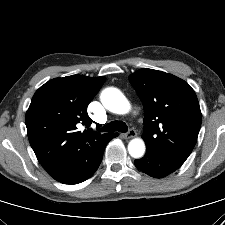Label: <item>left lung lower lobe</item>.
I'll use <instances>...</instances> for the list:
<instances>
[{"instance_id":"obj_1","label":"left lung lower lobe","mask_w":225,"mask_h":225,"mask_svg":"<svg viewBox=\"0 0 225 225\" xmlns=\"http://www.w3.org/2000/svg\"><path fill=\"white\" fill-rule=\"evenodd\" d=\"M134 163L139 170L155 178L165 177L183 164L149 148H146L145 156L141 159H136Z\"/></svg>"}]
</instances>
